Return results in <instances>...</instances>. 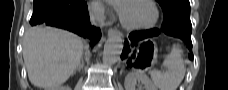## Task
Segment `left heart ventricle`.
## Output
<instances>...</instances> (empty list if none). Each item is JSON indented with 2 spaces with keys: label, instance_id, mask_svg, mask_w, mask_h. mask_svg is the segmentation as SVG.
Instances as JSON below:
<instances>
[{
  "label": "left heart ventricle",
  "instance_id": "obj_1",
  "mask_svg": "<svg viewBox=\"0 0 228 90\" xmlns=\"http://www.w3.org/2000/svg\"><path fill=\"white\" fill-rule=\"evenodd\" d=\"M121 12L124 20L131 25L148 24L154 18L152 6L142 0L125 4Z\"/></svg>",
  "mask_w": 228,
  "mask_h": 90
}]
</instances>
